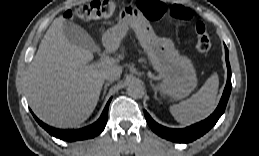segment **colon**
Instances as JSON below:
<instances>
[{"label": "colon", "instance_id": "1", "mask_svg": "<svg viewBox=\"0 0 259 156\" xmlns=\"http://www.w3.org/2000/svg\"><path fill=\"white\" fill-rule=\"evenodd\" d=\"M138 8L151 21H157L165 15L182 22H189L193 19L191 10L181 5L167 8L162 2L156 0H139ZM116 11L117 4L114 1L94 0L74 7L68 11L66 17L72 20H92L111 17ZM194 30L197 37L196 50L202 54L207 53L211 48V41L205 24L201 21L196 22Z\"/></svg>", "mask_w": 259, "mask_h": 156}]
</instances>
